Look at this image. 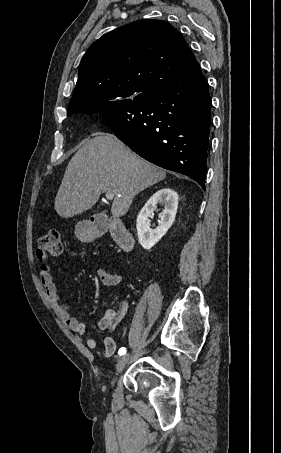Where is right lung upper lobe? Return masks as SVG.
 I'll return each instance as SVG.
<instances>
[{
	"mask_svg": "<svg viewBox=\"0 0 281 453\" xmlns=\"http://www.w3.org/2000/svg\"><path fill=\"white\" fill-rule=\"evenodd\" d=\"M196 63L181 33L166 21L143 19L115 29L83 56L68 115L129 101Z\"/></svg>",
	"mask_w": 281,
	"mask_h": 453,
	"instance_id": "obj_1",
	"label": "right lung upper lobe"
}]
</instances>
